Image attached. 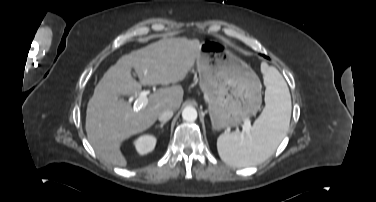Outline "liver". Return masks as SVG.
I'll return each instance as SVG.
<instances>
[{
  "label": "liver",
  "instance_id": "liver-1",
  "mask_svg": "<svg viewBox=\"0 0 376 202\" xmlns=\"http://www.w3.org/2000/svg\"><path fill=\"white\" fill-rule=\"evenodd\" d=\"M201 43L198 39L164 38L122 56L104 74L86 111L88 140L104 161L125 167L127 160L120 147L124 140L151 127L167 109L176 111L183 100V88H160L150 95L148 104L140 109L119 99L135 95L142 85H168L182 81L194 66ZM134 69L140 78L131 74Z\"/></svg>",
  "mask_w": 376,
  "mask_h": 202
}]
</instances>
